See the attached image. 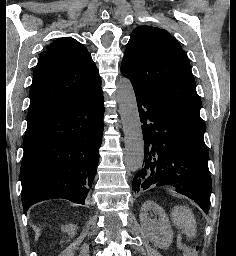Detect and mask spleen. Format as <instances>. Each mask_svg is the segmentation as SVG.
Instances as JSON below:
<instances>
[{
  "label": "spleen",
  "mask_w": 236,
  "mask_h": 256,
  "mask_svg": "<svg viewBox=\"0 0 236 256\" xmlns=\"http://www.w3.org/2000/svg\"><path fill=\"white\" fill-rule=\"evenodd\" d=\"M172 216L175 224L182 228L187 238H194L196 236V220L191 210H188L185 206H176Z\"/></svg>",
  "instance_id": "spleen-1"
}]
</instances>
